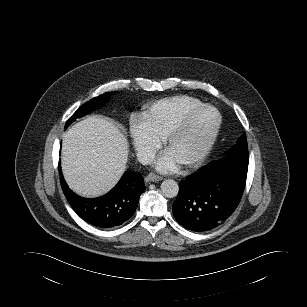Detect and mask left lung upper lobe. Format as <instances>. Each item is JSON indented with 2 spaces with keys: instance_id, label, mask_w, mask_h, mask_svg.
I'll use <instances>...</instances> for the list:
<instances>
[{
  "instance_id": "1",
  "label": "left lung upper lobe",
  "mask_w": 307,
  "mask_h": 307,
  "mask_svg": "<svg viewBox=\"0 0 307 307\" xmlns=\"http://www.w3.org/2000/svg\"><path fill=\"white\" fill-rule=\"evenodd\" d=\"M222 160L248 162L249 154H248L246 133H244L238 139L236 145L232 147V149L223 157Z\"/></svg>"
}]
</instances>
